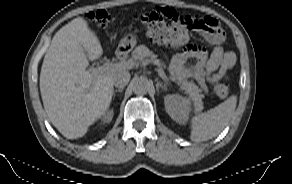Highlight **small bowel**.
<instances>
[{"label": "small bowel", "instance_id": "obj_1", "mask_svg": "<svg viewBox=\"0 0 292 184\" xmlns=\"http://www.w3.org/2000/svg\"><path fill=\"white\" fill-rule=\"evenodd\" d=\"M205 24L195 28L205 40L213 46L211 54L199 46H187L176 53L171 60V71L178 77H192L200 88L207 92V83H214L227 76L234 66L236 56L231 51H225L222 44L225 34L218 21L210 16L203 17ZM195 62L189 64L190 60Z\"/></svg>", "mask_w": 292, "mask_h": 184}]
</instances>
